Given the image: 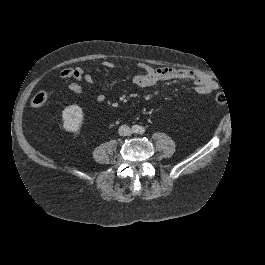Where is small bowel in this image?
Wrapping results in <instances>:
<instances>
[{
	"instance_id": "c3829d8e",
	"label": "small bowel",
	"mask_w": 265,
	"mask_h": 265,
	"mask_svg": "<svg viewBox=\"0 0 265 265\" xmlns=\"http://www.w3.org/2000/svg\"><path fill=\"white\" fill-rule=\"evenodd\" d=\"M102 67L106 69H114L117 63L113 61H104ZM138 67L143 70L133 76V83L140 88L155 85L161 81L169 80H189L196 86V91L199 94H209L218 88V84L206 74L194 70L175 69L170 67L152 68L146 64L140 63ZM74 74L72 78L75 80L70 82L67 86L68 90L74 94H81L83 92L82 82L94 84V78L90 73H87L84 67H76L73 69ZM98 102L105 100V95L99 93L96 97Z\"/></svg>"
}]
</instances>
